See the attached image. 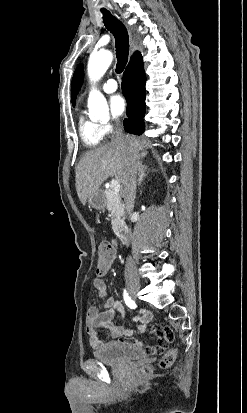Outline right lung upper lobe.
<instances>
[{
    "label": "right lung upper lobe",
    "instance_id": "right-lung-upper-lobe-1",
    "mask_svg": "<svg viewBox=\"0 0 247 413\" xmlns=\"http://www.w3.org/2000/svg\"><path fill=\"white\" fill-rule=\"evenodd\" d=\"M143 68V62H142V57L139 52H136L134 56L131 57V60L126 67V70L123 75H129V74H134L139 71H142Z\"/></svg>",
    "mask_w": 247,
    "mask_h": 413
}]
</instances>
